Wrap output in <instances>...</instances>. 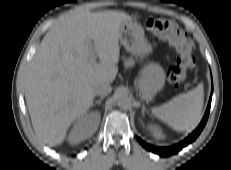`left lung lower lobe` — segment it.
<instances>
[{
	"mask_svg": "<svg viewBox=\"0 0 231 170\" xmlns=\"http://www.w3.org/2000/svg\"><path fill=\"white\" fill-rule=\"evenodd\" d=\"M211 98H212V94L208 103V107L206 110V113L204 115L203 120L201 121L200 125L198 126V128L192 133L190 134L185 140H183L182 142L170 146V147H155L152 145H149L147 143H145L143 140H141L140 138H138L139 143L146 148L149 151H152L156 154H159L161 156H167V155H172L177 153L178 151H180L183 147H185L186 145L190 144L191 142H193L201 133V131L203 130L207 119H208V115H209V111H210V105H211Z\"/></svg>",
	"mask_w": 231,
	"mask_h": 170,
	"instance_id": "left-lung-lower-lobe-1",
	"label": "left lung lower lobe"
}]
</instances>
